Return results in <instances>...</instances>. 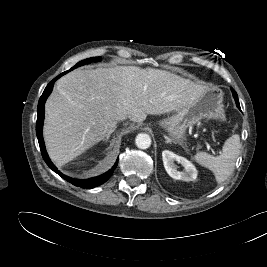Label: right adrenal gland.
<instances>
[{"instance_id": "right-adrenal-gland-1", "label": "right adrenal gland", "mask_w": 267, "mask_h": 267, "mask_svg": "<svg viewBox=\"0 0 267 267\" xmlns=\"http://www.w3.org/2000/svg\"><path fill=\"white\" fill-rule=\"evenodd\" d=\"M116 128H117V127L114 128L113 132L115 131ZM109 137H110V135H107L106 138L103 139V141H104V142H107L108 139H109Z\"/></svg>"}]
</instances>
